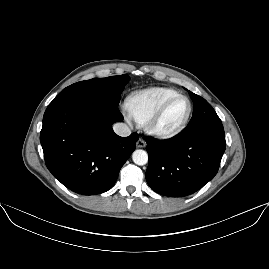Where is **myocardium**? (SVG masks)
Wrapping results in <instances>:
<instances>
[{"instance_id": "1", "label": "myocardium", "mask_w": 269, "mask_h": 269, "mask_svg": "<svg viewBox=\"0 0 269 269\" xmlns=\"http://www.w3.org/2000/svg\"><path fill=\"white\" fill-rule=\"evenodd\" d=\"M185 99L188 102V110L186 113V116L183 120V122L180 124V126L171 132H162L158 129V124L160 123L161 119L169 109V107L178 99ZM192 113V104L188 97L184 95H176L174 97L169 98L166 100L159 108L158 110L149 118L147 121L145 128L146 131L151 135L152 137L158 139V140H168L177 137L180 135L185 128L188 125V122L190 120V116Z\"/></svg>"}]
</instances>
